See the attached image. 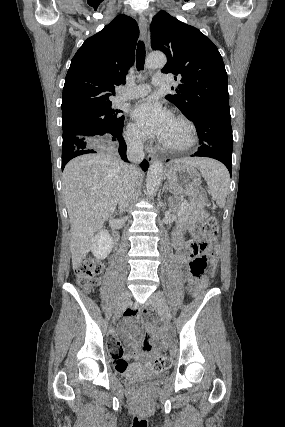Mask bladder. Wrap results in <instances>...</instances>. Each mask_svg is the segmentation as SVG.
<instances>
[{
	"label": "bladder",
	"mask_w": 285,
	"mask_h": 427,
	"mask_svg": "<svg viewBox=\"0 0 285 427\" xmlns=\"http://www.w3.org/2000/svg\"><path fill=\"white\" fill-rule=\"evenodd\" d=\"M117 374L128 383L136 384L142 381L162 382L167 378V373L163 370L149 371L142 366L131 364L123 370H117Z\"/></svg>",
	"instance_id": "1"
}]
</instances>
